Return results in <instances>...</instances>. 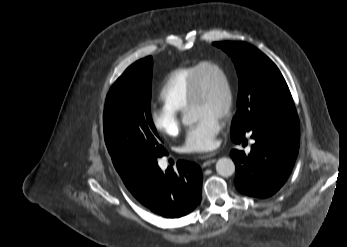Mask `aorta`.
I'll return each instance as SVG.
<instances>
[{
  "label": "aorta",
  "instance_id": "1",
  "mask_svg": "<svg viewBox=\"0 0 347 247\" xmlns=\"http://www.w3.org/2000/svg\"><path fill=\"white\" fill-rule=\"evenodd\" d=\"M195 122V117L190 111H187L182 116V123L184 125H191ZM216 171L220 176L229 177L235 172V164L232 159L223 157L216 163Z\"/></svg>",
  "mask_w": 347,
  "mask_h": 247
}]
</instances>
